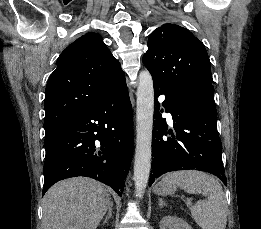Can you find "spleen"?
<instances>
[{"instance_id":"obj_1","label":"spleen","mask_w":261,"mask_h":229,"mask_svg":"<svg viewBox=\"0 0 261 229\" xmlns=\"http://www.w3.org/2000/svg\"><path fill=\"white\" fill-rule=\"evenodd\" d=\"M163 181L175 183L190 195L202 193L207 197L191 209L192 219L201 229H226L227 201L220 183L214 177L202 171H173L166 173Z\"/></svg>"}]
</instances>
